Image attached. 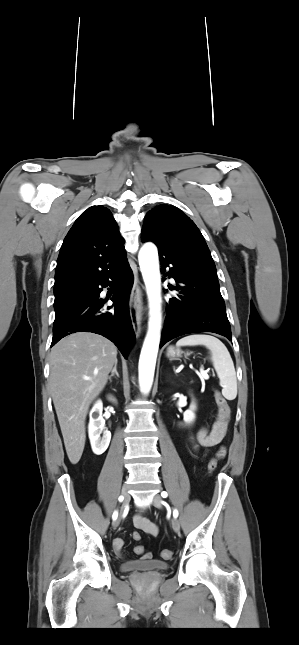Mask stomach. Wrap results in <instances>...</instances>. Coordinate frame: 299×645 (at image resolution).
<instances>
[{
	"mask_svg": "<svg viewBox=\"0 0 299 645\" xmlns=\"http://www.w3.org/2000/svg\"><path fill=\"white\" fill-rule=\"evenodd\" d=\"M181 354L182 352L180 349L174 348L172 346L168 347L167 349V357L171 360L179 358Z\"/></svg>",
	"mask_w": 299,
	"mask_h": 645,
	"instance_id": "stomach-1",
	"label": "stomach"
}]
</instances>
